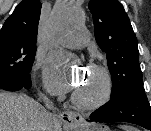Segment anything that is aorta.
<instances>
[{
	"instance_id": "obj_1",
	"label": "aorta",
	"mask_w": 151,
	"mask_h": 131,
	"mask_svg": "<svg viewBox=\"0 0 151 131\" xmlns=\"http://www.w3.org/2000/svg\"><path fill=\"white\" fill-rule=\"evenodd\" d=\"M75 11L66 8L64 10L55 9L51 18V26L54 30H70L75 25Z\"/></svg>"
}]
</instances>
